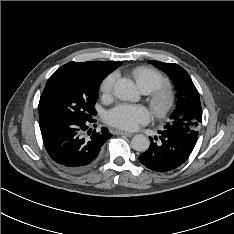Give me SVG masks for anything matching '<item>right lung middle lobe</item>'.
Listing matches in <instances>:
<instances>
[{"label":"right lung middle lobe","mask_w":234,"mask_h":234,"mask_svg":"<svg viewBox=\"0 0 234 234\" xmlns=\"http://www.w3.org/2000/svg\"><path fill=\"white\" fill-rule=\"evenodd\" d=\"M102 79L60 67L47 81L39 101V121L50 117L87 120L96 114Z\"/></svg>","instance_id":"obj_1"}]
</instances>
